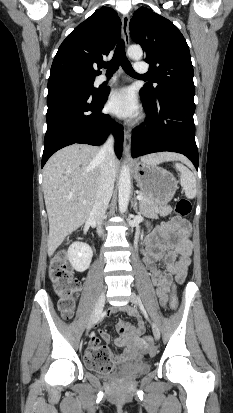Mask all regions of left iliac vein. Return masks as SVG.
I'll return each instance as SVG.
<instances>
[{
    "mask_svg": "<svg viewBox=\"0 0 233 413\" xmlns=\"http://www.w3.org/2000/svg\"><path fill=\"white\" fill-rule=\"evenodd\" d=\"M130 301L136 306H141V301L135 293L131 294ZM151 326H152V332H153L154 338L156 340H159L160 339V329H159V327L154 322L151 323Z\"/></svg>",
    "mask_w": 233,
    "mask_h": 413,
    "instance_id": "left-iliac-vein-1",
    "label": "left iliac vein"
}]
</instances>
